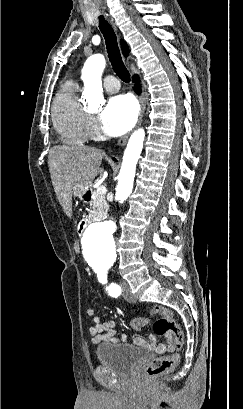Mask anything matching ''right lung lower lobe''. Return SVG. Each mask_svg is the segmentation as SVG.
Returning a JSON list of instances; mask_svg holds the SVG:
<instances>
[{
  "label": "right lung lower lobe",
  "instance_id": "obj_1",
  "mask_svg": "<svg viewBox=\"0 0 243 409\" xmlns=\"http://www.w3.org/2000/svg\"><path fill=\"white\" fill-rule=\"evenodd\" d=\"M133 79H134V82H137V83L139 82V77L138 76L133 77ZM135 91H136V93L140 92V90H138V89H136Z\"/></svg>",
  "mask_w": 243,
  "mask_h": 409
}]
</instances>
